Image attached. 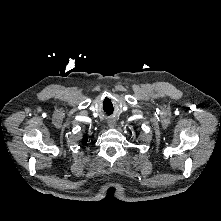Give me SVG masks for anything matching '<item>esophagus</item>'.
<instances>
[{"mask_svg":"<svg viewBox=\"0 0 221 221\" xmlns=\"http://www.w3.org/2000/svg\"><path fill=\"white\" fill-rule=\"evenodd\" d=\"M115 124H116V122H115L114 119H109V120H108V126H109L110 128L115 127Z\"/></svg>","mask_w":221,"mask_h":221,"instance_id":"esophagus-1","label":"esophagus"}]
</instances>
